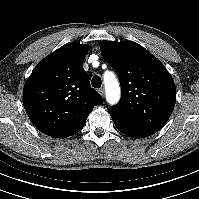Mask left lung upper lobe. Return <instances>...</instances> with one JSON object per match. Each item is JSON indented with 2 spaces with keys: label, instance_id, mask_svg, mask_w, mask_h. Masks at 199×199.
I'll use <instances>...</instances> for the list:
<instances>
[{
  "label": "left lung upper lobe",
  "instance_id": "obj_1",
  "mask_svg": "<svg viewBox=\"0 0 199 199\" xmlns=\"http://www.w3.org/2000/svg\"><path fill=\"white\" fill-rule=\"evenodd\" d=\"M101 54L116 71L121 100L109 113L151 133L168 121L176 102V88L164 65L132 41L100 42Z\"/></svg>",
  "mask_w": 199,
  "mask_h": 199
}]
</instances>
